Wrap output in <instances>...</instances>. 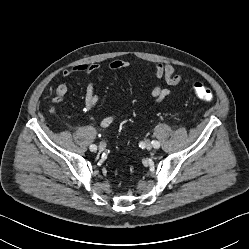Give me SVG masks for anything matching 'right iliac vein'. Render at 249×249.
I'll list each match as a JSON object with an SVG mask.
<instances>
[{"label":"right iliac vein","mask_w":249,"mask_h":249,"mask_svg":"<svg viewBox=\"0 0 249 249\" xmlns=\"http://www.w3.org/2000/svg\"><path fill=\"white\" fill-rule=\"evenodd\" d=\"M106 149V143L102 142L99 144V150L104 151Z\"/></svg>","instance_id":"right-iliac-vein-1"}]
</instances>
